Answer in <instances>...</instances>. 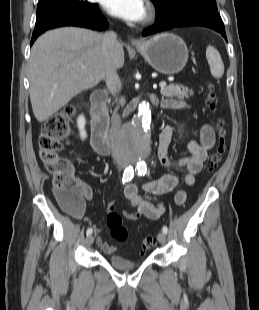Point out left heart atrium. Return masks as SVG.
Segmentation results:
<instances>
[{"instance_id": "39dd6f15", "label": "left heart atrium", "mask_w": 259, "mask_h": 310, "mask_svg": "<svg viewBox=\"0 0 259 310\" xmlns=\"http://www.w3.org/2000/svg\"><path fill=\"white\" fill-rule=\"evenodd\" d=\"M104 9L111 15L129 22L142 20L146 13L144 0H102Z\"/></svg>"}]
</instances>
